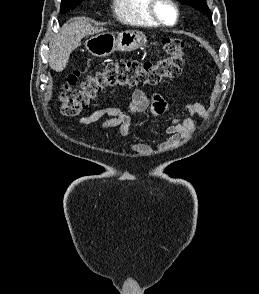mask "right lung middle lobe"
<instances>
[{"label":"right lung middle lobe","mask_w":259,"mask_h":294,"mask_svg":"<svg viewBox=\"0 0 259 294\" xmlns=\"http://www.w3.org/2000/svg\"><path fill=\"white\" fill-rule=\"evenodd\" d=\"M81 1L83 0H62L61 1V12L62 13H67L70 10L74 9L76 6H78Z\"/></svg>","instance_id":"dd1d6c3e"}]
</instances>
